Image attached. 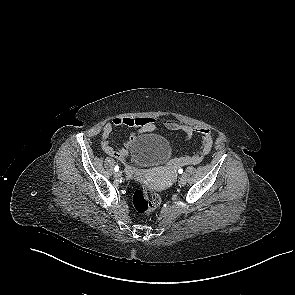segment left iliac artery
<instances>
[{
    "label": "left iliac artery",
    "instance_id": "1",
    "mask_svg": "<svg viewBox=\"0 0 295 295\" xmlns=\"http://www.w3.org/2000/svg\"><path fill=\"white\" fill-rule=\"evenodd\" d=\"M178 172H179L180 174H182V173H183V169H179Z\"/></svg>",
    "mask_w": 295,
    "mask_h": 295
}]
</instances>
